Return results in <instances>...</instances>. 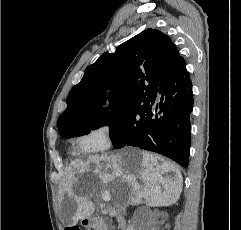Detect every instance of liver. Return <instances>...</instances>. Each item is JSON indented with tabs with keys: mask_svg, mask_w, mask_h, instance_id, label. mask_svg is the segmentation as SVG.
I'll return each instance as SVG.
<instances>
[{
	"mask_svg": "<svg viewBox=\"0 0 241 230\" xmlns=\"http://www.w3.org/2000/svg\"><path fill=\"white\" fill-rule=\"evenodd\" d=\"M173 173V176H165ZM94 175L99 179L96 191L89 194L97 195L99 187L112 184V195L109 191H102V195L108 193L112 200L122 207L123 197L116 195V187L119 184H129L131 193L126 197L131 204H146L149 207H167L175 204L181 194L183 178L179 167L163 157L150 154L134 148H126L117 154L90 155L86 162L75 161L67 174V183L62 188V193L73 197L77 203V209L72 217L73 225L78 220L89 217L95 210L94 204L85 197L75 194L76 186L81 184L85 177ZM140 179L144 185L138 182ZM63 198V195H62Z\"/></svg>",
	"mask_w": 241,
	"mask_h": 230,
	"instance_id": "1",
	"label": "liver"
}]
</instances>
